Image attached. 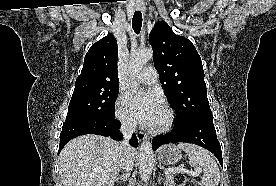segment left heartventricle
<instances>
[{
  "mask_svg": "<svg viewBox=\"0 0 276 186\" xmlns=\"http://www.w3.org/2000/svg\"><path fill=\"white\" fill-rule=\"evenodd\" d=\"M165 121V112L163 109L160 110L159 114L156 117V120L153 126L161 125Z\"/></svg>",
  "mask_w": 276,
  "mask_h": 186,
  "instance_id": "obj_1",
  "label": "left heart ventricle"
}]
</instances>
